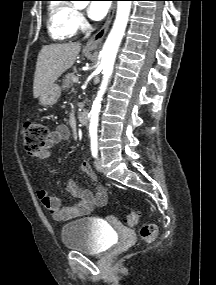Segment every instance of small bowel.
I'll return each mask as SVG.
<instances>
[{"mask_svg":"<svg viewBox=\"0 0 216 285\" xmlns=\"http://www.w3.org/2000/svg\"><path fill=\"white\" fill-rule=\"evenodd\" d=\"M70 135V129L66 125H58L48 137L43 158H49L50 154L48 150L62 140L69 139ZM81 169L91 181H97L96 174L89 163L84 162ZM67 192L72 197L76 198L77 202L66 207H62L59 199L46 190H39L37 192V196L42 205L48 210L51 217L57 221H67L76 217L86 216L95 206L104 205L107 201L106 192L100 185L96 186L94 191H91L88 189H81L75 182L71 181L68 183Z\"/></svg>","mask_w":216,"mask_h":285,"instance_id":"1","label":"small bowel"}]
</instances>
